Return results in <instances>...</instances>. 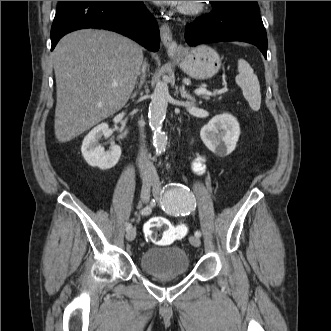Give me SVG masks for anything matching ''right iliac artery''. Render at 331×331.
I'll return each instance as SVG.
<instances>
[{
	"label": "right iliac artery",
	"instance_id": "obj_1",
	"mask_svg": "<svg viewBox=\"0 0 331 331\" xmlns=\"http://www.w3.org/2000/svg\"><path fill=\"white\" fill-rule=\"evenodd\" d=\"M151 213V208L149 207V206H146L145 208H143L142 210H141V214L142 215H148V214H150ZM132 228V225L130 224V223H127L126 224V230L128 231V230H130Z\"/></svg>",
	"mask_w": 331,
	"mask_h": 331
}]
</instances>
